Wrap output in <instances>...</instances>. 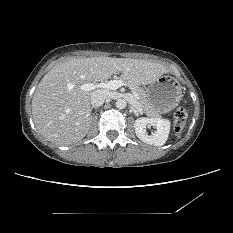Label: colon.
I'll return each mask as SVG.
<instances>
[{
	"instance_id": "5ec220e1",
	"label": "colon",
	"mask_w": 233,
	"mask_h": 233,
	"mask_svg": "<svg viewBox=\"0 0 233 233\" xmlns=\"http://www.w3.org/2000/svg\"><path fill=\"white\" fill-rule=\"evenodd\" d=\"M187 117L186 109L183 107H178L174 113V128L176 131H181L185 125Z\"/></svg>"
}]
</instances>
